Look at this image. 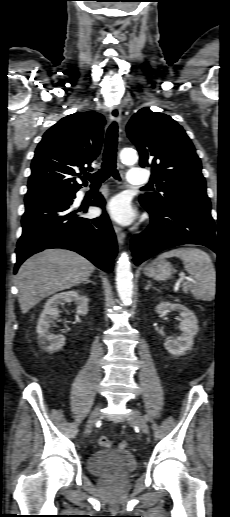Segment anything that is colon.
<instances>
[{
  "label": "colon",
  "instance_id": "1",
  "mask_svg": "<svg viewBox=\"0 0 230 517\" xmlns=\"http://www.w3.org/2000/svg\"><path fill=\"white\" fill-rule=\"evenodd\" d=\"M99 443L102 447H105V448H109L111 446L110 440L106 437H101L99 439ZM128 447H129V443L127 441H121L118 444V448L120 450H126V449H128Z\"/></svg>",
  "mask_w": 230,
  "mask_h": 517
}]
</instances>
